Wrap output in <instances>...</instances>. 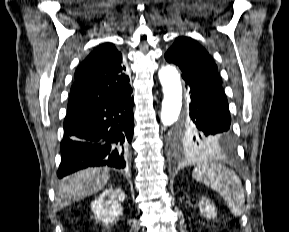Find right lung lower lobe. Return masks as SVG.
<instances>
[{
  "label": "right lung lower lobe",
  "mask_w": 289,
  "mask_h": 232,
  "mask_svg": "<svg viewBox=\"0 0 289 232\" xmlns=\"http://www.w3.org/2000/svg\"><path fill=\"white\" fill-rule=\"evenodd\" d=\"M131 93L68 110L59 178L91 166L125 168L133 137Z\"/></svg>",
  "instance_id": "98d812e1"
}]
</instances>
